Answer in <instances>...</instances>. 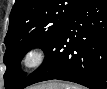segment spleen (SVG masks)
<instances>
[{"mask_svg": "<svg viewBox=\"0 0 107 89\" xmlns=\"http://www.w3.org/2000/svg\"><path fill=\"white\" fill-rule=\"evenodd\" d=\"M61 89H82V88L81 86L78 85L63 84Z\"/></svg>", "mask_w": 107, "mask_h": 89, "instance_id": "spleen-1", "label": "spleen"}]
</instances>
